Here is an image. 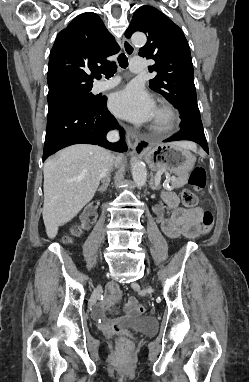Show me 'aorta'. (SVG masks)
Wrapping results in <instances>:
<instances>
[{
  "mask_svg": "<svg viewBox=\"0 0 249 382\" xmlns=\"http://www.w3.org/2000/svg\"><path fill=\"white\" fill-rule=\"evenodd\" d=\"M131 40L133 44L141 46L146 43L147 38L143 33H135L131 37ZM131 172L135 185L138 188L144 186L147 180V171L145 165L141 161L134 159L131 164Z\"/></svg>",
  "mask_w": 249,
  "mask_h": 382,
  "instance_id": "1",
  "label": "aorta"
}]
</instances>
